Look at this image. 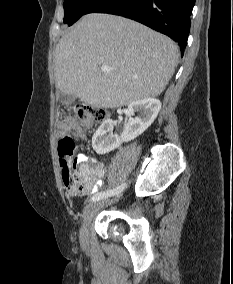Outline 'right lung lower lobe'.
Returning <instances> with one entry per match:
<instances>
[{
	"label": "right lung lower lobe",
	"mask_w": 233,
	"mask_h": 284,
	"mask_svg": "<svg viewBox=\"0 0 233 284\" xmlns=\"http://www.w3.org/2000/svg\"><path fill=\"white\" fill-rule=\"evenodd\" d=\"M195 0H108L93 12L120 15L159 31L180 45L183 56Z\"/></svg>",
	"instance_id": "right-lung-lower-lobe-1"
}]
</instances>
